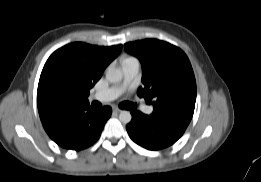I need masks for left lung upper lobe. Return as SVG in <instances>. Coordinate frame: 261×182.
Here are the masks:
<instances>
[{
    "label": "left lung upper lobe",
    "mask_w": 261,
    "mask_h": 182,
    "mask_svg": "<svg viewBox=\"0 0 261 182\" xmlns=\"http://www.w3.org/2000/svg\"><path fill=\"white\" fill-rule=\"evenodd\" d=\"M142 64V84L137 91L153 103L152 118L187 125L196 101V81L190 61L178 47L157 39L124 44Z\"/></svg>",
    "instance_id": "1"
}]
</instances>
